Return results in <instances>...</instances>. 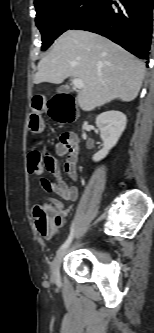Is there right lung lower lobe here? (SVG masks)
I'll use <instances>...</instances> for the list:
<instances>
[{
  "mask_svg": "<svg viewBox=\"0 0 154 333\" xmlns=\"http://www.w3.org/2000/svg\"><path fill=\"white\" fill-rule=\"evenodd\" d=\"M154 0H100L86 18L69 29L105 36L141 59H149Z\"/></svg>",
  "mask_w": 154,
  "mask_h": 333,
  "instance_id": "obj_1",
  "label": "right lung lower lobe"
}]
</instances>
